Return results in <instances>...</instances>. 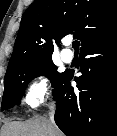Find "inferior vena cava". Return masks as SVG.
Here are the masks:
<instances>
[{
	"label": "inferior vena cava",
	"instance_id": "obj_1",
	"mask_svg": "<svg viewBox=\"0 0 117 136\" xmlns=\"http://www.w3.org/2000/svg\"><path fill=\"white\" fill-rule=\"evenodd\" d=\"M54 110H55V107L52 106L51 107V112L49 113V117H50V121L54 124Z\"/></svg>",
	"mask_w": 117,
	"mask_h": 136
}]
</instances>
